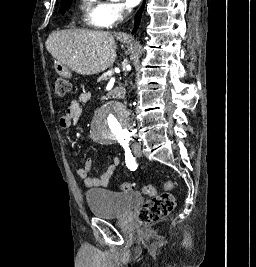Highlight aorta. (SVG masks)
Wrapping results in <instances>:
<instances>
[{
  "label": "aorta",
  "instance_id": "762f6f07",
  "mask_svg": "<svg viewBox=\"0 0 256 267\" xmlns=\"http://www.w3.org/2000/svg\"><path fill=\"white\" fill-rule=\"evenodd\" d=\"M104 107L98 109V117H92L93 127H132L128 108L117 101H106ZM117 133H126V128H91L90 138L95 143H114Z\"/></svg>",
  "mask_w": 256,
  "mask_h": 267
}]
</instances>
